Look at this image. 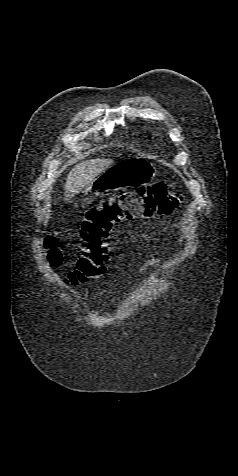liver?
Masks as SVG:
<instances>
[{"instance_id": "obj_1", "label": "liver", "mask_w": 238, "mask_h": 476, "mask_svg": "<svg viewBox=\"0 0 238 476\" xmlns=\"http://www.w3.org/2000/svg\"><path fill=\"white\" fill-rule=\"evenodd\" d=\"M113 162L111 159L97 158L75 165L66 178V196H73L74 194L80 193L83 188L93 182L99 174L110 168Z\"/></svg>"}]
</instances>
